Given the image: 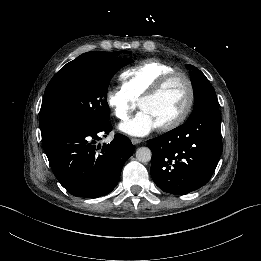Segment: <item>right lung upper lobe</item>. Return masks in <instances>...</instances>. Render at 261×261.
<instances>
[{"label": "right lung upper lobe", "instance_id": "obj_1", "mask_svg": "<svg viewBox=\"0 0 261 261\" xmlns=\"http://www.w3.org/2000/svg\"><path fill=\"white\" fill-rule=\"evenodd\" d=\"M121 52H103V51H92V52H87L79 57H84V56H95V57H111L113 55L119 54ZM39 124H40V129L41 130H54V122H53V117L52 113L49 109L48 106V99H47V94L44 93V98L40 110V115H39Z\"/></svg>", "mask_w": 261, "mask_h": 261}]
</instances>
